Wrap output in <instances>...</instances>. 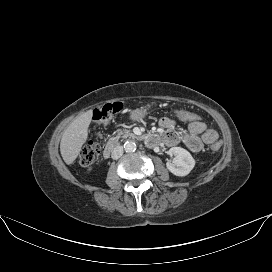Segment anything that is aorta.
Instances as JSON below:
<instances>
[{"instance_id": "762f6f07", "label": "aorta", "mask_w": 272, "mask_h": 272, "mask_svg": "<svg viewBox=\"0 0 272 272\" xmlns=\"http://www.w3.org/2000/svg\"><path fill=\"white\" fill-rule=\"evenodd\" d=\"M124 150L126 152H134L136 150V143L134 141H126L124 143Z\"/></svg>"}]
</instances>
